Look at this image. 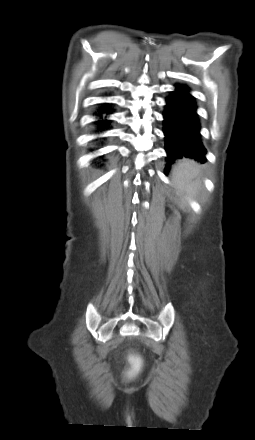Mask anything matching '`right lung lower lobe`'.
<instances>
[{
  "instance_id": "right-lung-lower-lobe-1",
  "label": "right lung lower lobe",
  "mask_w": 255,
  "mask_h": 440,
  "mask_svg": "<svg viewBox=\"0 0 255 440\" xmlns=\"http://www.w3.org/2000/svg\"><path fill=\"white\" fill-rule=\"evenodd\" d=\"M113 111L114 109L109 103H104L97 109L94 113L97 116V121L94 122L97 127L96 132L99 133L111 128V121L107 119V116L112 114Z\"/></svg>"
}]
</instances>
